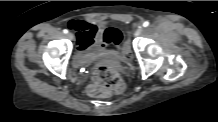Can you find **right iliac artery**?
Wrapping results in <instances>:
<instances>
[{
    "mask_svg": "<svg viewBox=\"0 0 218 122\" xmlns=\"http://www.w3.org/2000/svg\"><path fill=\"white\" fill-rule=\"evenodd\" d=\"M63 33L67 34V33H68V30H67V29H64V30H63Z\"/></svg>",
    "mask_w": 218,
    "mask_h": 122,
    "instance_id": "right-iliac-artery-1",
    "label": "right iliac artery"
}]
</instances>
